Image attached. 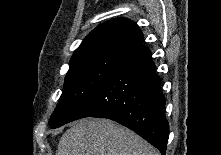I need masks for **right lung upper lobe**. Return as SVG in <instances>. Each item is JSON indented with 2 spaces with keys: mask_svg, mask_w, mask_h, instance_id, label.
<instances>
[{
  "mask_svg": "<svg viewBox=\"0 0 221 155\" xmlns=\"http://www.w3.org/2000/svg\"><path fill=\"white\" fill-rule=\"evenodd\" d=\"M143 34L132 21L117 18L100 24L75 50L70 63L101 54L126 56L142 44Z\"/></svg>",
  "mask_w": 221,
  "mask_h": 155,
  "instance_id": "obj_1",
  "label": "right lung upper lobe"
}]
</instances>
